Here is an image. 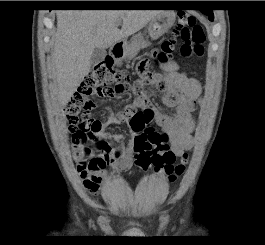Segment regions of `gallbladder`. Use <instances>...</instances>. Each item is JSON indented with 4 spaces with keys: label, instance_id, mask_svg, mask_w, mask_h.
<instances>
[{
    "label": "gallbladder",
    "instance_id": "gallbladder-1",
    "mask_svg": "<svg viewBox=\"0 0 265 245\" xmlns=\"http://www.w3.org/2000/svg\"><path fill=\"white\" fill-rule=\"evenodd\" d=\"M106 56V50L102 48H95L90 59L91 66H95L102 62Z\"/></svg>",
    "mask_w": 265,
    "mask_h": 245
}]
</instances>
